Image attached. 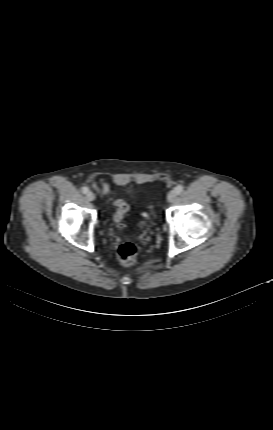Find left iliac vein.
Listing matches in <instances>:
<instances>
[{"instance_id":"obj_1","label":"left iliac vein","mask_w":273,"mask_h":430,"mask_svg":"<svg viewBox=\"0 0 273 430\" xmlns=\"http://www.w3.org/2000/svg\"><path fill=\"white\" fill-rule=\"evenodd\" d=\"M175 199H176V192L173 190V191H171V192L168 194V196H167V200H168L169 202H174V201H175Z\"/></svg>"}]
</instances>
